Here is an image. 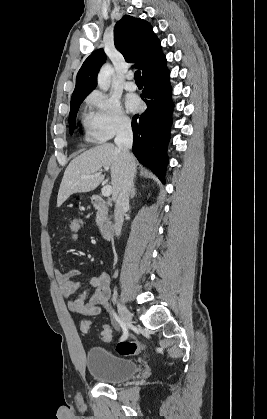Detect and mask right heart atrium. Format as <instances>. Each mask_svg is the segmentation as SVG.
Segmentation results:
<instances>
[{
    "label": "right heart atrium",
    "mask_w": 267,
    "mask_h": 419,
    "mask_svg": "<svg viewBox=\"0 0 267 419\" xmlns=\"http://www.w3.org/2000/svg\"><path fill=\"white\" fill-rule=\"evenodd\" d=\"M91 109L89 135L98 142H105L130 127V118L119 100L101 91H93L86 99Z\"/></svg>",
    "instance_id": "obj_1"
}]
</instances>
